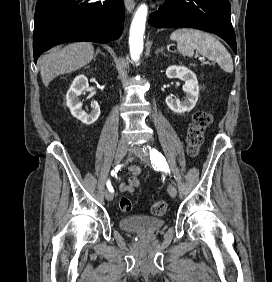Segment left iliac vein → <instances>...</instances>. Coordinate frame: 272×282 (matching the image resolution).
I'll return each instance as SVG.
<instances>
[{"label": "left iliac vein", "instance_id": "4c4485c4", "mask_svg": "<svg viewBox=\"0 0 272 282\" xmlns=\"http://www.w3.org/2000/svg\"><path fill=\"white\" fill-rule=\"evenodd\" d=\"M131 151L135 154V155H137L144 163H146V164H148V165H150L151 163H150V160L148 159V157H147V153H148V151L145 149H142L139 145H137V144H132L131 145ZM167 190H168V193H169V195L171 196V197H176V195H177V189H176V187H175V185H173V184H169L168 185V188H167Z\"/></svg>", "mask_w": 272, "mask_h": 282}]
</instances>
